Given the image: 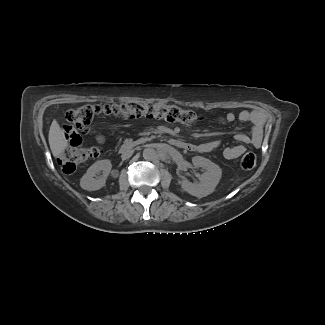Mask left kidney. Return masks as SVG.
I'll return each instance as SVG.
<instances>
[{
	"label": "left kidney",
	"mask_w": 325,
	"mask_h": 325,
	"mask_svg": "<svg viewBox=\"0 0 325 325\" xmlns=\"http://www.w3.org/2000/svg\"><path fill=\"white\" fill-rule=\"evenodd\" d=\"M192 163L195 168H202L204 173L201 174L199 183H192L187 179L181 181V187L184 191L198 198L211 194L219 183L222 170L221 168L202 156H194Z\"/></svg>",
	"instance_id": "obj_1"
}]
</instances>
